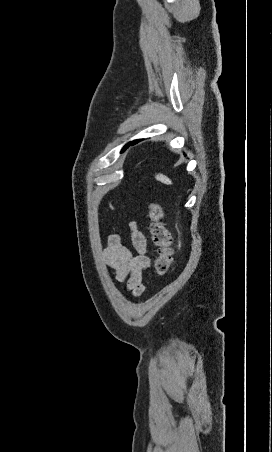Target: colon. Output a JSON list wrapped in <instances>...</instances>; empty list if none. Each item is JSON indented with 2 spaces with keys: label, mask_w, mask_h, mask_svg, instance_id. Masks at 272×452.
I'll return each mask as SVG.
<instances>
[{
  "label": "colon",
  "mask_w": 272,
  "mask_h": 452,
  "mask_svg": "<svg viewBox=\"0 0 272 452\" xmlns=\"http://www.w3.org/2000/svg\"><path fill=\"white\" fill-rule=\"evenodd\" d=\"M149 218L151 221V237L154 245L156 246L157 253L155 260V271L157 276L163 277L170 269L173 250L171 247L172 238L164 224V214L160 204H150Z\"/></svg>",
  "instance_id": "obj_1"
}]
</instances>
